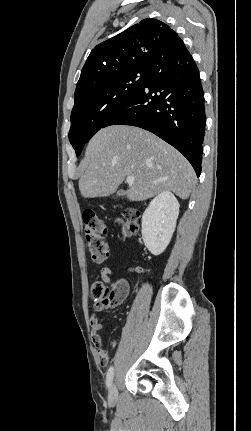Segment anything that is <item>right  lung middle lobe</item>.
Segmentation results:
<instances>
[{"instance_id":"dd1d6c3e","label":"right lung middle lobe","mask_w":251,"mask_h":431,"mask_svg":"<svg viewBox=\"0 0 251 431\" xmlns=\"http://www.w3.org/2000/svg\"><path fill=\"white\" fill-rule=\"evenodd\" d=\"M146 68L112 77L75 94L69 140L79 156L86 142L142 87Z\"/></svg>"}]
</instances>
